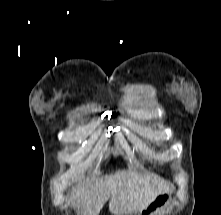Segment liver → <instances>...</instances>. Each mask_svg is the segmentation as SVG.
I'll return each mask as SVG.
<instances>
[{
  "instance_id": "obj_1",
  "label": "liver",
  "mask_w": 221,
  "mask_h": 215,
  "mask_svg": "<svg viewBox=\"0 0 221 215\" xmlns=\"http://www.w3.org/2000/svg\"><path fill=\"white\" fill-rule=\"evenodd\" d=\"M168 191L166 182L122 170L79 183L72 189L70 201L73 206L85 207L84 215H98L109 200L112 214L127 215L140 212L157 194Z\"/></svg>"
}]
</instances>
